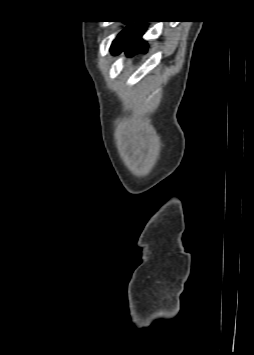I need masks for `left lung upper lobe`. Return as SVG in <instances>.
I'll list each match as a JSON object with an SVG mask.
<instances>
[{"instance_id":"1","label":"left lung upper lobe","mask_w":254,"mask_h":355,"mask_svg":"<svg viewBox=\"0 0 254 355\" xmlns=\"http://www.w3.org/2000/svg\"><path fill=\"white\" fill-rule=\"evenodd\" d=\"M123 31H124V30H123ZM123 31L120 32V33L118 34L117 38L113 41L112 46H111V51L113 50V48H114V46L116 45L117 41H118V40L120 39V37L122 36Z\"/></svg>"}]
</instances>
